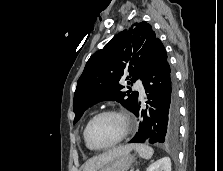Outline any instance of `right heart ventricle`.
Instances as JSON below:
<instances>
[{
  "label": "right heart ventricle",
  "mask_w": 223,
  "mask_h": 171,
  "mask_svg": "<svg viewBox=\"0 0 223 171\" xmlns=\"http://www.w3.org/2000/svg\"><path fill=\"white\" fill-rule=\"evenodd\" d=\"M83 138H84V130H83ZM84 141H85V138H84ZM85 144H86V146H87L88 149H91V148L88 146V144L86 143V141H85Z\"/></svg>",
  "instance_id": "right-heart-ventricle-1"
}]
</instances>
